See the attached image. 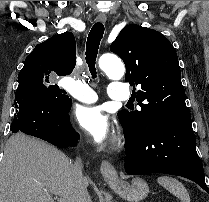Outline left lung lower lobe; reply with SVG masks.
<instances>
[{
    "mask_svg": "<svg viewBox=\"0 0 209 202\" xmlns=\"http://www.w3.org/2000/svg\"><path fill=\"white\" fill-rule=\"evenodd\" d=\"M125 171L130 175L166 173L196 182L209 193L196 152L191 119L153 118L143 132L124 128Z\"/></svg>",
    "mask_w": 209,
    "mask_h": 202,
    "instance_id": "left-lung-lower-lobe-1",
    "label": "left lung lower lobe"
}]
</instances>
